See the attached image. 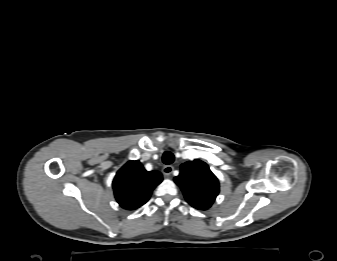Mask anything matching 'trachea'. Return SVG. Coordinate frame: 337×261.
<instances>
[{"label": "trachea", "instance_id": "3493384b", "mask_svg": "<svg viewBox=\"0 0 337 261\" xmlns=\"http://www.w3.org/2000/svg\"><path fill=\"white\" fill-rule=\"evenodd\" d=\"M162 161H163L164 164L169 165V164L173 163L174 155L171 152L166 151L162 156Z\"/></svg>", "mask_w": 337, "mask_h": 261}]
</instances>
